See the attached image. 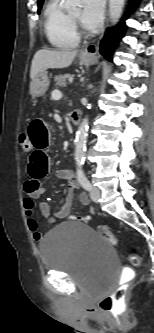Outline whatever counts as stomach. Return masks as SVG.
Wrapping results in <instances>:
<instances>
[{"label": "stomach", "mask_w": 154, "mask_h": 333, "mask_svg": "<svg viewBox=\"0 0 154 333\" xmlns=\"http://www.w3.org/2000/svg\"><path fill=\"white\" fill-rule=\"evenodd\" d=\"M80 63L83 65H91L95 61V57L91 55H79ZM50 84L47 72L45 70L40 71L34 79L30 82V94L33 98L43 96Z\"/></svg>", "instance_id": "obj_1"}]
</instances>
